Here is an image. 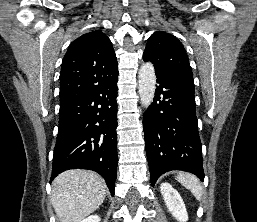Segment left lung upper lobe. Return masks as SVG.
I'll return each mask as SVG.
<instances>
[{"instance_id":"5c2ea615","label":"left lung upper lobe","mask_w":257,"mask_h":222,"mask_svg":"<svg viewBox=\"0 0 257 222\" xmlns=\"http://www.w3.org/2000/svg\"><path fill=\"white\" fill-rule=\"evenodd\" d=\"M143 59L152 62L156 72L194 88L187 53L175 36L162 31L153 33L148 39Z\"/></svg>"}]
</instances>
